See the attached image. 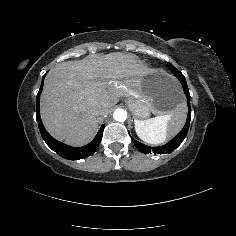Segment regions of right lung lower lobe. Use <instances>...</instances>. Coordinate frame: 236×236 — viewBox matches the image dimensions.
Returning a JSON list of instances; mask_svg holds the SVG:
<instances>
[{"label":"right lung lower lobe","instance_id":"right-lung-lower-lobe-1","mask_svg":"<svg viewBox=\"0 0 236 236\" xmlns=\"http://www.w3.org/2000/svg\"><path fill=\"white\" fill-rule=\"evenodd\" d=\"M44 77H45V75H44ZM44 77L42 79V84H41L40 90L37 95V122H38L40 133H41L44 141L59 156L65 158V159H68V160H79V159H83V158L91 156L98 149L101 138L103 136V130H104L105 125L101 126V128L99 129V132L97 133L94 140L83 147H71V146H68L64 143L57 141L52 136H50V134L45 130V128L43 126V123H42L41 117H40V111H39L40 94H41L42 88H43Z\"/></svg>","mask_w":236,"mask_h":236}]
</instances>
